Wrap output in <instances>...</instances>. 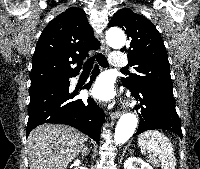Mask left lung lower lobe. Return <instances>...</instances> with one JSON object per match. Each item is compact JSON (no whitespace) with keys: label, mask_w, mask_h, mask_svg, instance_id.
<instances>
[{"label":"left lung lower lobe","mask_w":200,"mask_h":169,"mask_svg":"<svg viewBox=\"0 0 200 169\" xmlns=\"http://www.w3.org/2000/svg\"><path fill=\"white\" fill-rule=\"evenodd\" d=\"M131 94L140 101L136 106L140 111V123L135 135L147 130L166 129L182 138L181 122L175 109L172 89L146 85L131 91Z\"/></svg>","instance_id":"1"}]
</instances>
